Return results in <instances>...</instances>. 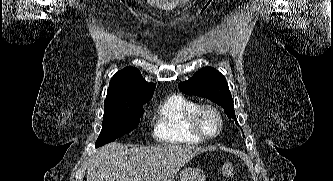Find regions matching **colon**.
I'll return each instance as SVG.
<instances>
[{"label": "colon", "instance_id": "colon-1", "mask_svg": "<svg viewBox=\"0 0 333 181\" xmlns=\"http://www.w3.org/2000/svg\"><path fill=\"white\" fill-rule=\"evenodd\" d=\"M234 171H235V165L232 161H228L224 163L222 166V174L226 178H232L234 176Z\"/></svg>", "mask_w": 333, "mask_h": 181}]
</instances>
